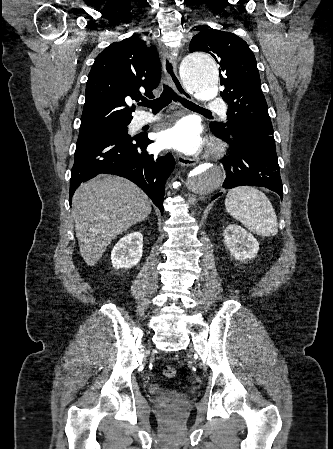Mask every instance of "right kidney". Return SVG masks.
<instances>
[{"mask_svg":"<svg viewBox=\"0 0 333 449\" xmlns=\"http://www.w3.org/2000/svg\"><path fill=\"white\" fill-rule=\"evenodd\" d=\"M143 236L140 232H132L121 238L111 252L114 268H131L137 265L143 253Z\"/></svg>","mask_w":333,"mask_h":449,"instance_id":"1","label":"right kidney"}]
</instances>
